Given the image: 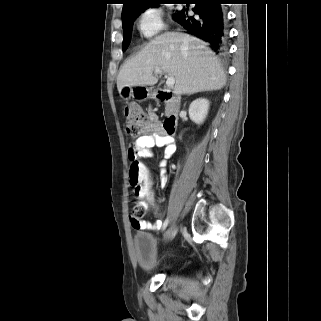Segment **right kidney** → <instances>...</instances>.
Masks as SVG:
<instances>
[{"label":"right kidney","instance_id":"1","mask_svg":"<svg viewBox=\"0 0 321 321\" xmlns=\"http://www.w3.org/2000/svg\"><path fill=\"white\" fill-rule=\"evenodd\" d=\"M209 101L205 98L194 100L189 106V117L196 124H202L207 116Z\"/></svg>","mask_w":321,"mask_h":321}]
</instances>
